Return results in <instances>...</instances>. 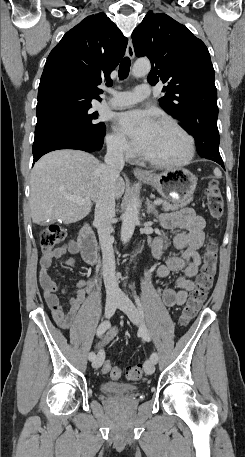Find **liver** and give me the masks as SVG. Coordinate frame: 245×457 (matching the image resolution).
Returning a JSON list of instances; mask_svg holds the SVG:
<instances>
[{
	"label": "liver",
	"instance_id": "liver-1",
	"mask_svg": "<svg viewBox=\"0 0 245 457\" xmlns=\"http://www.w3.org/2000/svg\"><path fill=\"white\" fill-rule=\"evenodd\" d=\"M98 158L84 150H53L35 162L30 178V208L33 222L61 218L64 224L77 222L89 214L91 204H77L67 196H81L97 202L100 192ZM125 190L122 176L114 184V196Z\"/></svg>",
	"mask_w": 245,
	"mask_h": 457
}]
</instances>
